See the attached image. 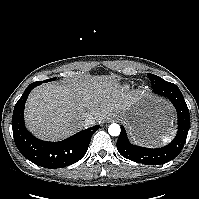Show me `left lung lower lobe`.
<instances>
[{"label": "left lung lower lobe", "mask_w": 199, "mask_h": 199, "mask_svg": "<svg viewBox=\"0 0 199 199\" xmlns=\"http://www.w3.org/2000/svg\"><path fill=\"white\" fill-rule=\"evenodd\" d=\"M153 91L156 94L167 97L177 110L178 132L174 140L170 144L162 148H143L133 145L129 142L125 128L123 126H121V133L117 140V149L123 157L134 162L147 165L164 164L174 159L181 152L186 142L190 126L188 107L185 103L181 91L176 85Z\"/></svg>", "instance_id": "0a47b994"}]
</instances>
